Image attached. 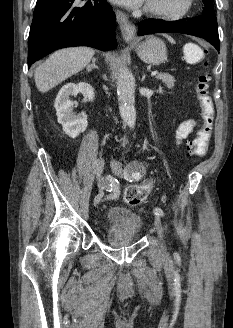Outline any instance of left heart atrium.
Segmentation results:
<instances>
[{"label": "left heart atrium", "mask_w": 233, "mask_h": 328, "mask_svg": "<svg viewBox=\"0 0 233 328\" xmlns=\"http://www.w3.org/2000/svg\"><path fill=\"white\" fill-rule=\"evenodd\" d=\"M110 1L128 8H138L148 2V0H110Z\"/></svg>", "instance_id": "39dd6f15"}]
</instances>
